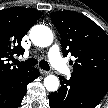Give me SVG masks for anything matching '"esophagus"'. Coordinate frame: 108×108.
Wrapping results in <instances>:
<instances>
[{
    "mask_svg": "<svg viewBox=\"0 0 108 108\" xmlns=\"http://www.w3.org/2000/svg\"><path fill=\"white\" fill-rule=\"evenodd\" d=\"M40 72H41V74H43V75H48V74L51 73L50 71L43 70V69H41Z\"/></svg>",
    "mask_w": 108,
    "mask_h": 108,
    "instance_id": "obj_1",
    "label": "esophagus"
}]
</instances>
